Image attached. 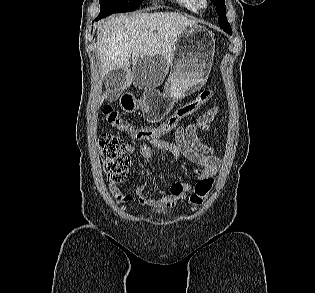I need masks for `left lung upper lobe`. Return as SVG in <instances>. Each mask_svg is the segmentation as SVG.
I'll return each mask as SVG.
<instances>
[{
	"label": "left lung upper lobe",
	"instance_id": "obj_1",
	"mask_svg": "<svg viewBox=\"0 0 315 293\" xmlns=\"http://www.w3.org/2000/svg\"><path fill=\"white\" fill-rule=\"evenodd\" d=\"M211 1L216 6V12L218 15V23L220 27L231 35L232 29L226 18L225 0H211Z\"/></svg>",
	"mask_w": 315,
	"mask_h": 293
}]
</instances>
